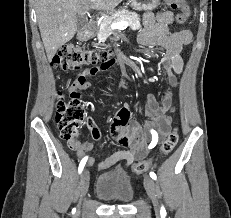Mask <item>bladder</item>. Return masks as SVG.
I'll use <instances>...</instances> for the list:
<instances>
[{"label":"bladder","mask_w":231,"mask_h":218,"mask_svg":"<svg viewBox=\"0 0 231 218\" xmlns=\"http://www.w3.org/2000/svg\"><path fill=\"white\" fill-rule=\"evenodd\" d=\"M99 198L108 202H129L134 195L133 183L127 174L102 175L95 185Z\"/></svg>","instance_id":"31cf9c89"}]
</instances>
